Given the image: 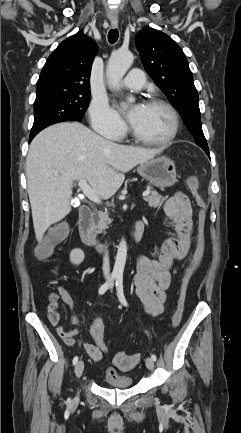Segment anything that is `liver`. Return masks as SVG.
Instances as JSON below:
<instances>
[{"label":"liver","instance_id":"obj_1","mask_svg":"<svg viewBox=\"0 0 241 433\" xmlns=\"http://www.w3.org/2000/svg\"><path fill=\"white\" fill-rule=\"evenodd\" d=\"M161 149L120 145L81 123H58L31 142L26 177L35 236L38 241L71 211L73 182L85 179L102 199L121 187L125 173L152 159Z\"/></svg>","mask_w":241,"mask_h":433}]
</instances>
